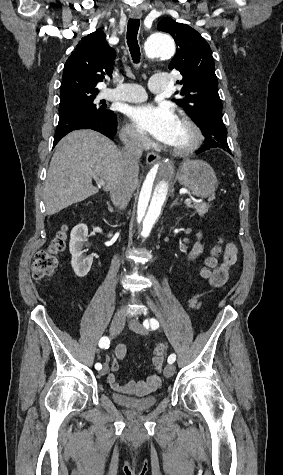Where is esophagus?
I'll return each mask as SVG.
<instances>
[{"label": "esophagus", "mask_w": 283, "mask_h": 475, "mask_svg": "<svg viewBox=\"0 0 283 475\" xmlns=\"http://www.w3.org/2000/svg\"><path fill=\"white\" fill-rule=\"evenodd\" d=\"M130 17L134 19H139L142 17V12L140 10L132 11L130 14ZM159 160H160V156L158 155V153L150 152L147 154L146 163H148V165H152L158 162Z\"/></svg>", "instance_id": "34e87169"}]
</instances>
